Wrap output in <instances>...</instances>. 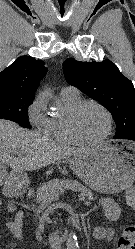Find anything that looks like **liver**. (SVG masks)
Here are the masks:
<instances>
[{"label":"liver","instance_id":"liver-1","mask_svg":"<svg viewBox=\"0 0 135 249\" xmlns=\"http://www.w3.org/2000/svg\"><path fill=\"white\" fill-rule=\"evenodd\" d=\"M84 150L59 145L14 122L0 119V162L15 172L37 170Z\"/></svg>","mask_w":135,"mask_h":249}]
</instances>
